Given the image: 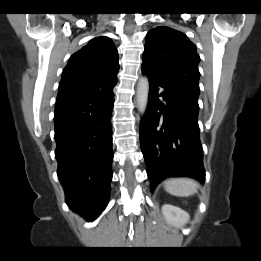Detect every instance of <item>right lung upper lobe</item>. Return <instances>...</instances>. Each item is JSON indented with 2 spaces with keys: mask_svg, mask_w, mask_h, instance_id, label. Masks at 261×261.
<instances>
[{
  "mask_svg": "<svg viewBox=\"0 0 261 261\" xmlns=\"http://www.w3.org/2000/svg\"><path fill=\"white\" fill-rule=\"evenodd\" d=\"M118 70V53L112 40L96 37L69 59L57 99L110 89L116 85Z\"/></svg>",
  "mask_w": 261,
  "mask_h": 261,
  "instance_id": "1",
  "label": "right lung upper lobe"
}]
</instances>
